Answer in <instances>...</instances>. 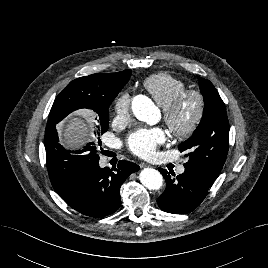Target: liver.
Here are the masks:
<instances>
[{
  "mask_svg": "<svg viewBox=\"0 0 268 268\" xmlns=\"http://www.w3.org/2000/svg\"><path fill=\"white\" fill-rule=\"evenodd\" d=\"M90 128L88 114L77 112L58 126V132L65 147H74L89 140Z\"/></svg>",
  "mask_w": 268,
  "mask_h": 268,
  "instance_id": "liver-1",
  "label": "liver"
}]
</instances>
